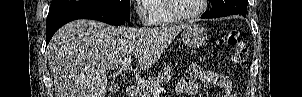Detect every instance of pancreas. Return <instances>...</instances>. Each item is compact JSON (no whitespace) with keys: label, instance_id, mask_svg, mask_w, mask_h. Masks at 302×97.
Instances as JSON below:
<instances>
[{"label":"pancreas","instance_id":"obj_1","mask_svg":"<svg viewBox=\"0 0 302 97\" xmlns=\"http://www.w3.org/2000/svg\"><path fill=\"white\" fill-rule=\"evenodd\" d=\"M173 74L170 67H165L164 70L157 73V75L145 80L144 83L139 86V97H152L155 88L159 87L164 81L171 79Z\"/></svg>","mask_w":302,"mask_h":97}]
</instances>
